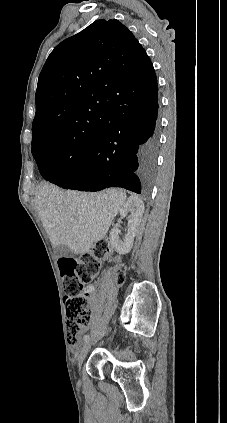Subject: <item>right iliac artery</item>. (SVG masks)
<instances>
[{
	"label": "right iliac artery",
	"mask_w": 227,
	"mask_h": 423,
	"mask_svg": "<svg viewBox=\"0 0 227 423\" xmlns=\"http://www.w3.org/2000/svg\"><path fill=\"white\" fill-rule=\"evenodd\" d=\"M89 338H90V337H89V335H85V336H84V340H85V341L89 340Z\"/></svg>",
	"instance_id": "obj_1"
}]
</instances>
